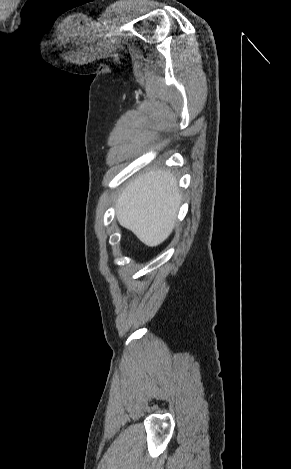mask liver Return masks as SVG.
<instances>
[{
	"label": "liver",
	"mask_w": 291,
	"mask_h": 469,
	"mask_svg": "<svg viewBox=\"0 0 291 469\" xmlns=\"http://www.w3.org/2000/svg\"><path fill=\"white\" fill-rule=\"evenodd\" d=\"M180 202L175 176L167 170H151L121 192L116 202V217L141 242L155 247L171 234Z\"/></svg>",
	"instance_id": "6515ba94"
}]
</instances>
